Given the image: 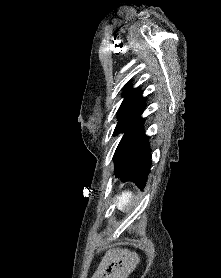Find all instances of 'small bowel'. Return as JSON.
<instances>
[{
    "mask_svg": "<svg viewBox=\"0 0 221 278\" xmlns=\"http://www.w3.org/2000/svg\"><path fill=\"white\" fill-rule=\"evenodd\" d=\"M135 262L136 257L127 251L110 252L100 262L92 278H124Z\"/></svg>",
    "mask_w": 221,
    "mask_h": 278,
    "instance_id": "c3829d8e",
    "label": "small bowel"
}]
</instances>
